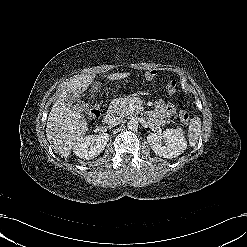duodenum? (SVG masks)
<instances>
[{
    "mask_svg": "<svg viewBox=\"0 0 247 247\" xmlns=\"http://www.w3.org/2000/svg\"><path fill=\"white\" fill-rule=\"evenodd\" d=\"M112 118V111L108 112L104 117V122L107 123Z\"/></svg>",
    "mask_w": 247,
    "mask_h": 247,
    "instance_id": "1",
    "label": "duodenum"
}]
</instances>
